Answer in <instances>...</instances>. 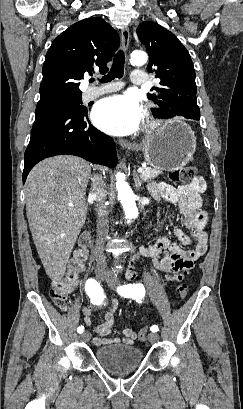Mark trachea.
<instances>
[{"mask_svg":"<svg viewBox=\"0 0 243 409\" xmlns=\"http://www.w3.org/2000/svg\"><path fill=\"white\" fill-rule=\"evenodd\" d=\"M124 64H125L124 52L122 50H119L114 57L110 72L107 75L103 76L102 80L100 81L106 83L112 81L115 78H121L124 73ZM90 81L93 82L94 79H91Z\"/></svg>","mask_w":243,"mask_h":409,"instance_id":"3493384b","label":"trachea"}]
</instances>
